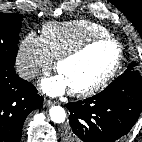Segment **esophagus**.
<instances>
[{
	"instance_id": "obj_1",
	"label": "esophagus",
	"mask_w": 142,
	"mask_h": 142,
	"mask_svg": "<svg viewBox=\"0 0 142 142\" xmlns=\"http://www.w3.org/2000/svg\"><path fill=\"white\" fill-rule=\"evenodd\" d=\"M53 105H55V102H53L52 100H48V99L44 100V106L49 107V106H53Z\"/></svg>"
}]
</instances>
